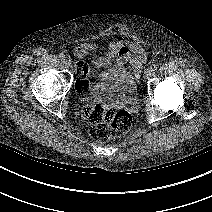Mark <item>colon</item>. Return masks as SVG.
I'll use <instances>...</instances> for the list:
<instances>
[{
  "mask_svg": "<svg viewBox=\"0 0 212 212\" xmlns=\"http://www.w3.org/2000/svg\"><path fill=\"white\" fill-rule=\"evenodd\" d=\"M77 71L81 79L76 83V90L83 93L89 87L87 76L90 75L88 66L79 62ZM83 115L89 120L88 133L96 141H107L124 135L131 127L132 116L126 110L118 107H108L101 104H87L83 107Z\"/></svg>",
  "mask_w": 212,
  "mask_h": 212,
  "instance_id": "1",
  "label": "colon"
}]
</instances>
